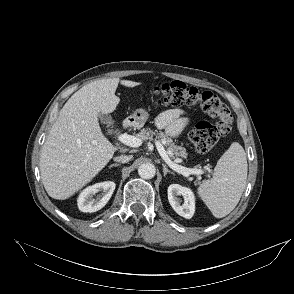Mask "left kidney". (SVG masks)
<instances>
[{
	"label": "left kidney",
	"instance_id": "obj_1",
	"mask_svg": "<svg viewBox=\"0 0 294 294\" xmlns=\"http://www.w3.org/2000/svg\"><path fill=\"white\" fill-rule=\"evenodd\" d=\"M167 192L169 203L174 211L186 219L192 218L195 212V197L192 190L179 184H171ZM177 196H183L182 204Z\"/></svg>",
	"mask_w": 294,
	"mask_h": 294
}]
</instances>
